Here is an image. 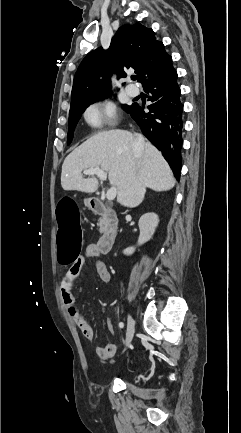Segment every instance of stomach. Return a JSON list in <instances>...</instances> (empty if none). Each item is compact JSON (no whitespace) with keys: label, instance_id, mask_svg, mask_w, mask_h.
<instances>
[{"label":"stomach","instance_id":"obj_1","mask_svg":"<svg viewBox=\"0 0 241 433\" xmlns=\"http://www.w3.org/2000/svg\"><path fill=\"white\" fill-rule=\"evenodd\" d=\"M84 203H85L86 206H89V199H85Z\"/></svg>","mask_w":241,"mask_h":433}]
</instances>
